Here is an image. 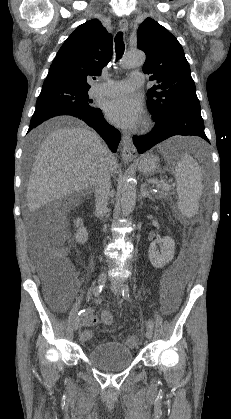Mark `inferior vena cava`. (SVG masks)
<instances>
[{
  "mask_svg": "<svg viewBox=\"0 0 231 419\" xmlns=\"http://www.w3.org/2000/svg\"><path fill=\"white\" fill-rule=\"evenodd\" d=\"M113 157L111 152H108L107 157L99 165L98 172L96 175L94 188L96 198V210L99 216L102 218L105 216L108 210V200L110 196V160Z\"/></svg>",
  "mask_w": 231,
  "mask_h": 419,
  "instance_id": "1",
  "label": "inferior vena cava"
}]
</instances>
